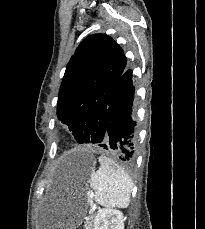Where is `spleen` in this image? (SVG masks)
I'll list each match as a JSON object with an SVG mask.
<instances>
[{
	"label": "spleen",
	"instance_id": "obj_1",
	"mask_svg": "<svg viewBox=\"0 0 205 229\" xmlns=\"http://www.w3.org/2000/svg\"><path fill=\"white\" fill-rule=\"evenodd\" d=\"M100 167L89 183L95 191L93 198L101 206L126 208L130 203L133 182L121 168H113L109 158L99 157Z\"/></svg>",
	"mask_w": 205,
	"mask_h": 229
}]
</instances>
